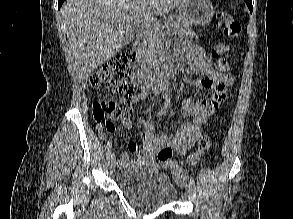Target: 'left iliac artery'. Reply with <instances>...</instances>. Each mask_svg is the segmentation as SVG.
<instances>
[{
  "label": "left iliac artery",
  "instance_id": "44dca946",
  "mask_svg": "<svg viewBox=\"0 0 293 219\" xmlns=\"http://www.w3.org/2000/svg\"><path fill=\"white\" fill-rule=\"evenodd\" d=\"M189 186H190V188H191L192 191L195 190V183H194V179L192 177L190 178Z\"/></svg>",
  "mask_w": 293,
  "mask_h": 219
}]
</instances>
